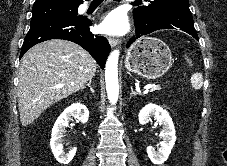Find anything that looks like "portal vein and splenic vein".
<instances>
[{"instance_id":"obj_1","label":"portal vein and splenic vein","mask_w":227,"mask_h":166,"mask_svg":"<svg viewBox=\"0 0 227 166\" xmlns=\"http://www.w3.org/2000/svg\"><path fill=\"white\" fill-rule=\"evenodd\" d=\"M155 85L153 84H148L145 86V89L148 90V89H151L152 87H154Z\"/></svg>"}]
</instances>
